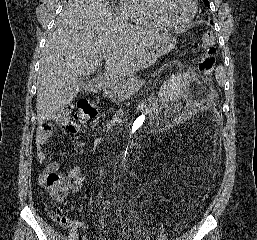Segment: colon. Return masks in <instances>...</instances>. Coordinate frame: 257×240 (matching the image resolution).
Returning a JSON list of instances; mask_svg holds the SVG:
<instances>
[{
	"label": "colon",
	"instance_id": "colon-1",
	"mask_svg": "<svg viewBox=\"0 0 257 240\" xmlns=\"http://www.w3.org/2000/svg\"><path fill=\"white\" fill-rule=\"evenodd\" d=\"M199 51L201 52L199 70L206 76H212L216 65L215 37L212 33L203 35L199 44ZM96 114L97 109L93 103L87 100L79 101L69 127L73 130L79 129L87 120L95 117ZM53 129L54 125L52 123H45L41 126V130L44 132H52ZM41 181L54 201L61 202L66 198L69 185L61 175L49 173L43 176ZM55 220L62 226L67 225V221L63 216L56 215Z\"/></svg>",
	"mask_w": 257,
	"mask_h": 240
}]
</instances>
